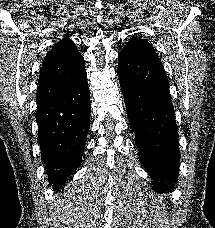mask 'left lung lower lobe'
Instances as JSON below:
<instances>
[{
	"label": "left lung lower lobe",
	"mask_w": 215,
	"mask_h": 228,
	"mask_svg": "<svg viewBox=\"0 0 215 228\" xmlns=\"http://www.w3.org/2000/svg\"><path fill=\"white\" fill-rule=\"evenodd\" d=\"M117 74L139 161L153 178L152 189L174 191L179 159L178 128L169 81L157 55L118 54Z\"/></svg>",
	"instance_id": "0a47b994"
}]
</instances>
